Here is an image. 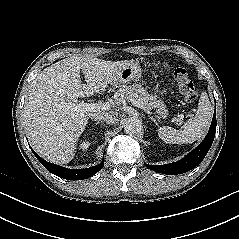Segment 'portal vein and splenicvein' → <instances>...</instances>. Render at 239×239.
Wrapping results in <instances>:
<instances>
[{"label": "portal vein and splenic vein", "instance_id": "obj_1", "mask_svg": "<svg viewBox=\"0 0 239 239\" xmlns=\"http://www.w3.org/2000/svg\"><path fill=\"white\" fill-rule=\"evenodd\" d=\"M131 103L138 108L145 109L143 105L139 104L137 101L132 100ZM75 110H79L81 112H89V111H106L110 109V104L108 102L102 103H80L74 106Z\"/></svg>", "mask_w": 239, "mask_h": 239}]
</instances>
